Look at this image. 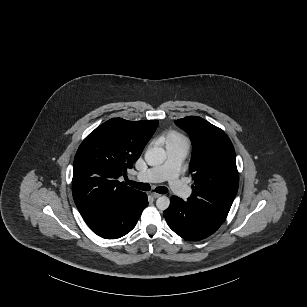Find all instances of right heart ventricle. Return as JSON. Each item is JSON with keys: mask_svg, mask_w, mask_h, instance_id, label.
<instances>
[{"mask_svg": "<svg viewBox=\"0 0 307 307\" xmlns=\"http://www.w3.org/2000/svg\"><path fill=\"white\" fill-rule=\"evenodd\" d=\"M166 146L168 148H187L188 141L183 136L176 133H169L165 135Z\"/></svg>", "mask_w": 307, "mask_h": 307, "instance_id": "right-heart-ventricle-1", "label": "right heart ventricle"}]
</instances>
